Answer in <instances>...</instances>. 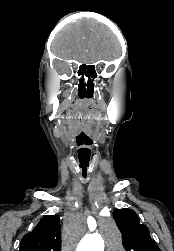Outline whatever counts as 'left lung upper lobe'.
I'll use <instances>...</instances> for the list:
<instances>
[{
    "label": "left lung upper lobe",
    "mask_w": 174,
    "mask_h": 251,
    "mask_svg": "<svg viewBox=\"0 0 174 251\" xmlns=\"http://www.w3.org/2000/svg\"><path fill=\"white\" fill-rule=\"evenodd\" d=\"M113 216L122 233V243L126 251H161L150 237L147 226L140 224L133 210L116 209Z\"/></svg>",
    "instance_id": "left-lung-upper-lobe-1"
}]
</instances>
